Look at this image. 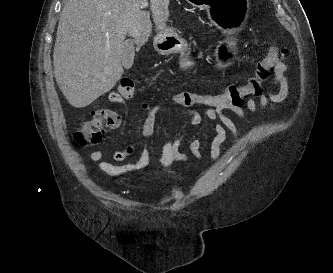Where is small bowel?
<instances>
[{
    "label": "small bowel",
    "instance_id": "1",
    "mask_svg": "<svg viewBox=\"0 0 333 273\" xmlns=\"http://www.w3.org/2000/svg\"><path fill=\"white\" fill-rule=\"evenodd\" d=\"M269 51L270 49L268 52ZM275 55L278 56V61L275 62L273 68V79L270 83V87L267 92L261 93L257 97L259 108L265 114L268 112H277V105L287 98L290 89V82L286 75L288 72V66L285 62L287 51L285 49H277ZM219 94H227V92L225 90V92ZM130 100V95H123L122 97L117 92H113L109 95V101L112 103H124L130 102ZM245 108L252 114L257 113L259 110L256 100L253 98H246V105H243L242 109H204L203 112L196 109H180L178 115L186 118L194 125H199L202 122L203 117L214 122L213 128L215 130V136L210 144L209 158V163L214 164L220 158V146L226 140L228 133L233 137L234 146H236L239 141L237 126L226 114V111L233 113L240 121H243L245 119ZM167 109L168 105L166 103H158L147 109L146 117L140 124V132L145 140H150L152 138L157 117L160 114L165 113ZM119 126L120 121L118 120L111 129H117ZM185 136L186 131H181L166 140L162 147V170H166L174 161L189 166L191 164V157L198 163H206V159L200 151L201 140L199 138H194L190 142L189 154L181 151L180 144ZM133 153L134 147L128 145L122 150L115 151L112 154V159L115 162H122L131 157ZM105 157V151L100 149L92 151L89 155L91 161L98 162L99 167L111 176L135 174L143 171L148 165L150 159V146L145 144L139 158L132 163L119 165L105 160Z\"/></svg>",
    "mask_w": 333,
    "mask_h": 273
}]
</instances>
